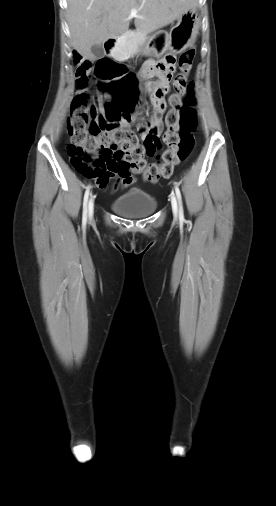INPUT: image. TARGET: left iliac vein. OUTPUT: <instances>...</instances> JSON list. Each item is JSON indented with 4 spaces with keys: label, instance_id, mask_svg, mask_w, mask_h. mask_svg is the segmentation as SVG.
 <instances>
[{
    "label": "left iliac vein",
    "instance_id": "1",
    "mask_svg": "<svg viewBox=\"0 0 276 506\" xmlns=\"http://www.w3.org/2000/svg\"><path fill=\"white\" fill-rule=\"evenodd\" d=\"M171 205H172L173 214L175 216H177L178 215V204H177V199H176L174 193L171 194Z\"/></svg>",
    "mask_w": 276,
    "mask_h": 506
}]
</instances>
